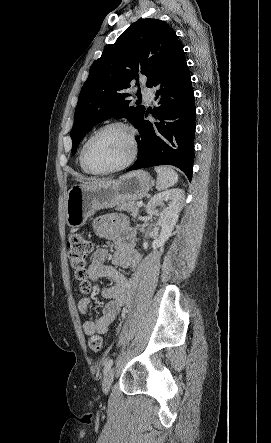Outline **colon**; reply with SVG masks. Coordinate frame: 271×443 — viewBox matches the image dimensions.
<instances>
[{
    "label": "colon",
    "mask_w": 271,
    "mask_h": 443,
    "mask_svg": "<svg viewBox=\"0 0 271 443\" xmlns=\"http://www.w3.org/2000/svg\"><path fill=\"white\" fill-rule=\"evenodd\" d=\"M68 256L72 268L75 270L76 278L80 281L81 289L88 291L90 284L87 280L88 272L86 264L90 253L93 250V242L82 234H72L68 241ZM89 347L99 353L103 350V340L99 334H93L89 338Z\"/></svg>",
    "instance_id": "1"
}]
</instances>
